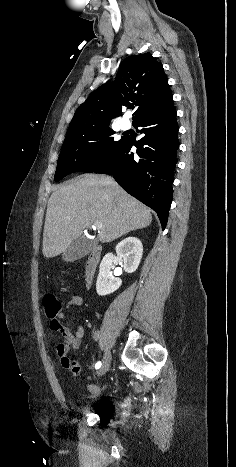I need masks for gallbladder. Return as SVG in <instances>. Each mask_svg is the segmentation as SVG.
I'll return each mask as SVG.
<instances>
[{"label": "gallbladder", "instance_id": "obj_1", "mask_svg": "<svg viewBox=\"0 0 236 467\" xmlns=\"http://www.w3.org/2000/svg\"><path fill=\"white\" fill-rule=\"evenodd\" d=\"M92 248V240L85 237H79L64 250L62 258L66 262H73L89 254Z\"/></svg>", "mask_w": 236, "mask_h": 467}]
</instances>
